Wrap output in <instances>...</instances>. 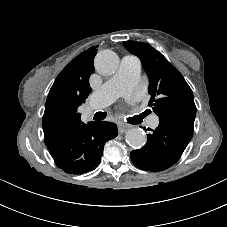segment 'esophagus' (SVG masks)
<instances>
[{"instance_id":"34e87169","label":"esophagus","mask_w":227,"mask_h":227,"mask_svg":"<svg viewBox=\"0 0 227 227\" xmlns=\"http://www.w3.org/2000/svg\"><path fill=\"white\" fill-rule=\"evenodd\" d=\"M129 128L128 125L125 124H118V132L120 134H123L124 132H126V130Z\"/></svg>"}]
</instances>
